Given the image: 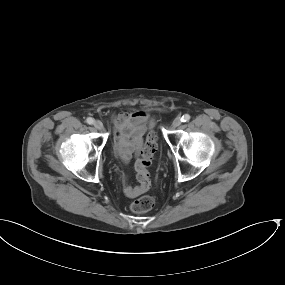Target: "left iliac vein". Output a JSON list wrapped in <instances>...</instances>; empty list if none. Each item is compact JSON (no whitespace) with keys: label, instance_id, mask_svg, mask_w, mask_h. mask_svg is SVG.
I'll list each match as a JSON object with an SVG mask.
<instances>
[{"label":"left iliac vein","instance_id":"obj_1","mask_svg":"<svg viewBox=\"0 0 285 285\" xmlns=\"http://www.w3.org/2000/svg\"><path fill=\"white\" fill-rule=\"evenodd\" d=\"M181 123H182L181 118L180 117H176L173 120V122H172V126H173V128H177V127H179L181 125Z\"/></svg>","mask_w":285,"mask_h":285}]
</instances>
